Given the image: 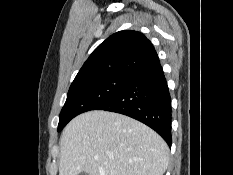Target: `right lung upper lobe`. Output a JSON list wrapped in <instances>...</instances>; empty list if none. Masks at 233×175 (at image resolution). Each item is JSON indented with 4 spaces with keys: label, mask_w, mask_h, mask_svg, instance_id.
I'll list each match as a JSON object with an SVG mask.
<instances>
[{
    "label": "right lung upper lobe",
    "mask_w": 233,
    "mask_h": 175,
    "mask_svg": "<svg viewBox=\"0 0 233 175\" xmlns=\"http://www.w3.org/2000/svg\"><path fill=\"white\" fill-rule=\"evenodd\" d=\"M158 63L152 43L142 33L119 31L93 51L73 82L109 74L134 77Z\"/></svg>",
    "instance_id": "obj_1"
}]
</instances>
